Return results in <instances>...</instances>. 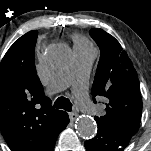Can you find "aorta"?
Wrapping results in <instances>:
<instances>
[{"mask_svg":"<svg viewBox=\"0 0 151 151\" xmlns=\"http://www.w3.org/2000/svg\"><path fill=\"white\" fill-rule=\"evenodd\" d=\"M45 59L52 67L67 65L72 59L71 50L65 45H52L45 53ZM77 132L84 138L94 136L97 124L91 117H80L76 123Z\"/></svg>","mask_w":151,"mask_h":151,"instance_id":"1","label":"aorta"}]
</instances>
